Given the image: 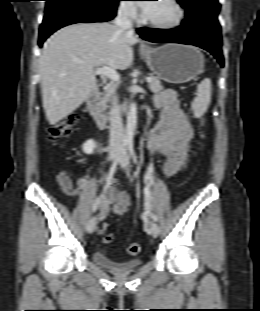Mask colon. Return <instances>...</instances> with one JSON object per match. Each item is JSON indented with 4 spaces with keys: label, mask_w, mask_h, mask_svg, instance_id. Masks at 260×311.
Masks as SVG:
<instances>
[{
    "label": "colon",
    "mask_w": 260,
    "mask_h": 311,
    "mask_svg": "<svg viewBox=\"0 0 260 311\" xmlns=\"http://www.w3.org/2000/svg\"><path fill=\"white\" fill-rule=\"evenodd\" d=\"M79 123V117L77 115H70L65 118L63 121L50 125L47 128V138L50 141H57L62 137L66 136L72 129H74ZM201 125H204L205 119H200ZM200 137L204 138L205 133L203 131L200 132ZM108 229V224L104 223L100 229L101 233H105ZM114 239L113 234H105L103 236L104 243H111ZM127 251L130 255H137L140 252V245L138 243H132L128 246Z\"/></svg>",
    "instance_id": "5ec220e1"
}]
</instances>
